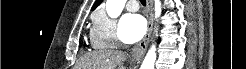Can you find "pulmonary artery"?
<instances>
[{
  "instance_id": "pulmonary-artery-1",
  "label": "pulmonary artery",
  "mask_w": 246,
  "mask_h": 69,
  "mask_svg": "<svg viewBox=\"0 0 246 69\" xmlns=\"http://www.w3.org/2000/svg\"><path fill=\"white\" fill-rule=\"evenodd\" d=\"M126 8H127V10L134 12V11L138 10V4L136 1H128L126 3Z\"/></svg>"
}]
</instances>
